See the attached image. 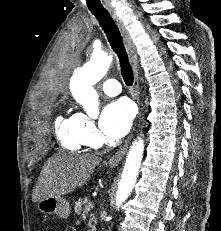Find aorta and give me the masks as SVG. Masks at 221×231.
Here are the masks:
<instances>
[{
  "mask_svg": "<svg viewBox=\"0 0 221 231\" xmlns=\"http://www.w3.org/2000/svg\"><path fill=\"white\" fill-rule=\"evenodd\" d=\"M113 56L103 51H94L91 59L80 68L70 80V91L74 99L80 103L90 116L98 115V94L93 85L98 83L107 73ZM144 140L135 139L126 157L121 180L116 193V207L125 202L132 192L144 153Z\"/></svg>",
  "mask_w": 221,
  "mask_h": 231,
  "instance_id": "1",
  "label": "aorta"
}]
</instances>
